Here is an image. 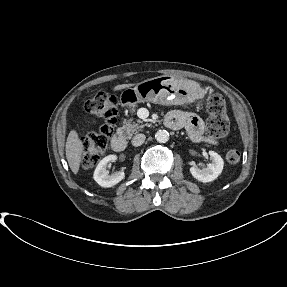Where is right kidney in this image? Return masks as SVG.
I'll use <instances>...</instances> for the list:
<instances>
[{
	"instance_id": "1",
	"label": "right kidney",
	"mask_w": 287,
	"mask_h": 287,
	"mask_svg": "<svg viewBox=\"0 0 287 287\" xmlns=\"http://www.w3.org/2000/svg\"><path fill=\"white\" fill-rule=\"evenodd\" d=\"M117 160L116 155H108L104 157L97 165L93 178L102 187H112L119 183L125 174L122 171H117L114 174L109 175L107 171V164Z\"/></svg>"
}]
</instances>
